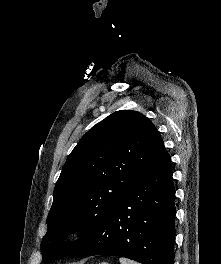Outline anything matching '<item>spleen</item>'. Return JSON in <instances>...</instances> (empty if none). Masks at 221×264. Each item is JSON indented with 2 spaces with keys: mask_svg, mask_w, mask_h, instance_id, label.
Listing matches in <instances>:
<instances>
[{
  "mask_svg": "<svg viewBox=\"0 0 221 264\" xmlns=\"http://www.w3.org/2000/svg\"><path fill=\"white\" fill-rule=\"evenodd\" d=\"M119 261H120L121 264H139V263H137L135 261H132L130 259H126V258H123V257H121L119 259Z\"/></svg>",
  "mask_w": 221,
  "mask_h": 264,
  "instance_id": "obj_1",
  "label": "spleen"
}]
</instances>
